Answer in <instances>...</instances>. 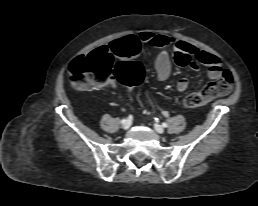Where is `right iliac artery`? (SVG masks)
<instances>
[{
  "instance_id": "82829eb1",
  "label": "right iliac artery",
  "mask_w": 258,
  "mask_h": 206,
  "mask_svg": "<svg viewBox=\"0 0 258 206\" xmlns=\"http://www.w3.org/2000/svg\"><path fill=\"white\" fill-rule=\"evenodd\" d=\"M125 120H126V119H122V120H121V123L123 124V123L125 122Z\"/></svg>"
}]
</instances>
